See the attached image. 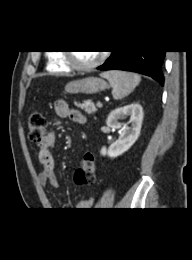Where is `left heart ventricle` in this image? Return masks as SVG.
<instances>
[{
    "mask_svg": "<svg viewBox=\"0 0 192 260\" xmlns=\"http://www.w3.org/2000/svg\"><path fill=\"white\" fill-rule=\"evenodd\" d=\"M100 53L95 51H79L74 53V58L77 63L86 65L94 62Z\"/></svg>",
    "mask_w": 192,
    "mask_h": 260,
    "instance_id": "b2bd125f",
    "label": "left heart ventricle"
}]
</instances>
